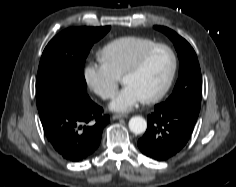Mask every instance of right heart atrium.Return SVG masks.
Masks as SVG:
<instances>
[{
	"mask_svg": "<svg viewBox=\"0 0 236 187\" xmlns=\"http://www.w3.org/2000/svg\"><path fill=\"white\" fill-rule=\"evenodd\" d=\"M83 77L89 89L102 99L107 100L114 96L118 86V77L101 63L86 64Z\"/></svg>",
	"mask_w": 236,
	"mask_h": 187,
	"instance_id": "obj_1",
	"label": "right heart atrium"
}]
</instances>
